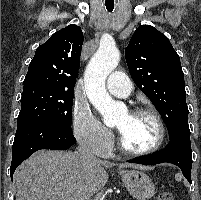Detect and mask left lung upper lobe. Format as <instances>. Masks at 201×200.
Returning <instances> with one entry per match:
<instances>
[{"mask_svg":"<svg viewBox=\"0 0 201 200\" xmlns=\"http://www.w3.org/2000/svg\"><path fill=\"white\" fill-rule=\"evenodd\" d=\"M130 75L166 123L169 138L190 132L184 73L169 39L150 25H140L125 49Z\"/></svg>","mask_w":201,"mask_h":200,"instance_id":"1","label":"left lung upper lobe"}]
</instances>
